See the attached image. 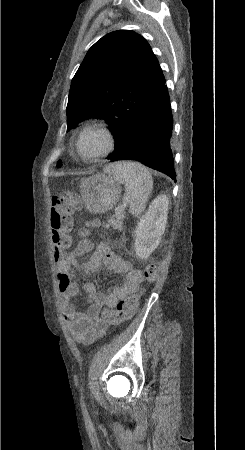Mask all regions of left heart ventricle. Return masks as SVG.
I'll return each mask as SVG.
<instances>
[{
    "mask_svg": "<svg viewBox=\"0 0 245 450\" xmlns=\"http://www.w3.org/2000/svg\"><path fill=\"white\" fill-rule=\"evenodd\" d=\"M105 146V139L101 134L88 136L80 147L83 154H94L101 151Z\"/></svg>",
    "mask_w": 245,
    "mask_h": 450,
    "instance_id": "b2bd125f",
    "label": "left heart ventricle"
}]
</instances>
